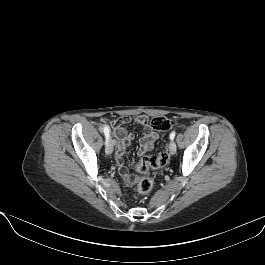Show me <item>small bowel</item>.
Wrapping results in <instances>:
<instances>
[{
	"instance_id": "c3829d8e",
	"label": "small bowel",
	"mask_w": 265,
	"mask_h": 265,
	"mask_svg": "<svg viewBox=\"0 0 265 265\" xmlns=\"http://www.w3.org/2000/svg\"><path fill=\"white\" fill-rule=\"evenodd\" d=\"M136 123L145 125L142 136L139 140L138 155H144L154 148L155 142L158 139V134L154 132L150 127L146 125L147 119L145 116H138L133 119ZM132 118L121 117L111 122L113 133L118 143L116 146L115 161L118 167V171L122 179L126 183H131L132 177L129 174L128 169L124 165L123 157L127 147L133 141V134L129 133L125 125L130 123Z\"/></svg>"
}]
</instances>
